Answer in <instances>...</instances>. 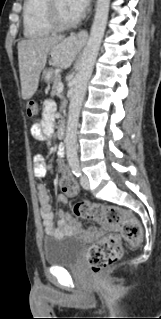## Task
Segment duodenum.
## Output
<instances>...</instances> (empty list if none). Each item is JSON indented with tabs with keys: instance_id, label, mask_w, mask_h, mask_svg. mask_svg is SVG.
Segmentation results:
<instances>
[{
	"instance_id": "1",
	"label": "duodenum",
	"mask_w": 161,
	"mask_h": 319,
	"mask_svg": "<svg viewBox=\"0 0 161 319\" xmlns=\"http://www.w3.org/2000/svg\"><path fill=\"white\" fill-rule=\"evenodd\" d=\"M59 135L64 137L66 135V126H61L59 130Z\"/></svg>"
}]
</instances>
